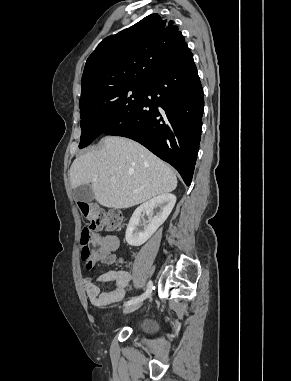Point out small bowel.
<instances>
[{
  "label": "small bowel",
  "instance_id": "1",
  "mask_svg": "<svg viewBox=\"0 0 291 381\" xmlns=\"http://www.w3.org/2000/svg\"><path fill=\"white\" fill-rule=\"evenodd\" d=\"M91 242L97 247L96 257L101 258L104 254L114 250L118 246V239L115 236H106L101 233H94ZM131 275L123 270H108L97 277L99 282H112L113 288L107 292H101L96 283L89 277L84 278L83 287L90 300L95 306H105L121 301L125 296V287L129 283Z\"/></svg>",
  "mask_w": 291,
  "mask_h": 381
}]
</instances>
